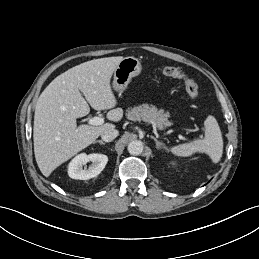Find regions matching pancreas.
Segmentation results:
<instances>
[{
  "instance_id": "obj_1",
  "label": "pancreas",
  "mask_w": 259,
  "mask_h": 259,
  "mask_svg": "<svg viewBox=\"0 0 259 259\" xmlns=\"http://www.w3.org/2000/svg\"><path fill=\"white\" fill-rule=\"evenodd\" d=\"M126 116L129 120L150 122L159 128L171 124L168 121L169 113H164L163 110H158L155 106L148 104L129 108Z\"/></svg>"
}]
</instances>
